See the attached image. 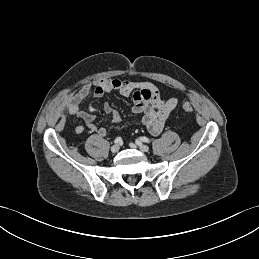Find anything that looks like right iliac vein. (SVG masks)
Instances as JSON below:
<instances>
[{"instance_id": "right-iliac-vein-1", "label": "right iliac vein", "mask_w": 259, "mask_h": 259, "mask_svg": "<svg viewBox=\"0 0 259 259\" xmlns=\"http://www.w3.org/2000/svg\"><path fill=\"white\" fill-rule=\"evenodd\" d=\"M119 151V145H113L112 147H111V152L112 153H117Z\"/></svg>"}]
</instances>
